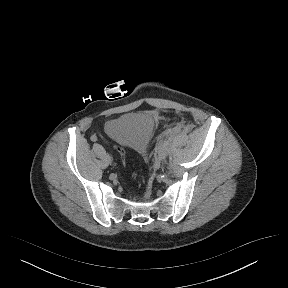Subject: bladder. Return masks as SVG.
<instances>
[{
	"instance_id": "31cf9c89",
	"label": "bladder",
	"mask_w": 288,
	"mask_h": 288,
	"mask_svg": "<svg viewBox=\"0 0 288 288\" xmlns=\"http://www.w3.org/2000/svg\"><path fill=\"white\" fill-rule=\"evenodd\" d=\"M156 125L153 115L148 113H132L110 121L105 132L113 139L136 150L144 147L146 139Z\"/></svg>"
}]
</instances>
